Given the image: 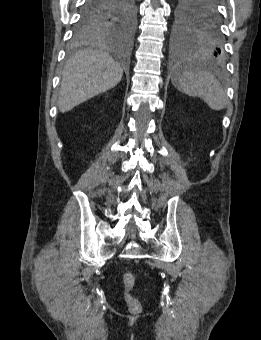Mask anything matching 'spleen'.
Here are the masks:
<instances>
[{
    "instance_id": "3e777b00",
    "label": "spleen",
    "mask_w": 261,
    "mask_h": 340,
    "mask_svg": "<svg viewBox=\"0 0 261 340\" xmlns=\"http://www.w3.org/2000/svg\"><path fill=\"white\" fill-rule=\"evenodd\" d=\"M174 86L189 96H198L215 111L227 105V95L216 77L194 61H184L172 78Z\"/></svg>"
}]
</instances>
